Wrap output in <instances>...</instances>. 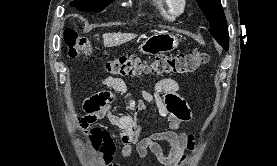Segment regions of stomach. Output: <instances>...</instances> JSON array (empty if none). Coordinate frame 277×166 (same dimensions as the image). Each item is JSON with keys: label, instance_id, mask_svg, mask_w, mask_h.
Here are the masks:
<instances>
[{"label": "stomach", "instance_id": "0dacf381", "mask_svg": "<svg viewBox=\"0 0 277 166\" xmlns=\"http://www.w3.org/2000/svg\"><path fill=\"white\" fill-rule=\"evenodd\" d=\"M179 40L166 31L154 33L140 45V52L146 55H159L177 48Z\"/></svg>", "mask_w": 277, "mask_h": 166}]
</instances>
